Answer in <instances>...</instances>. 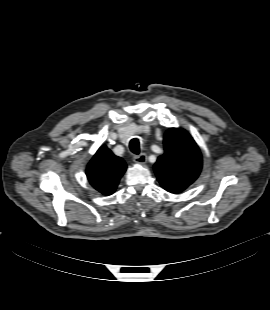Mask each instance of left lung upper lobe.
<instances>
[{
  "label": "left lung upper lobe",
  "mask_w": 270,
  "mask_h": 310,
  "mask_svg": "<svg viewBox=\"0 0 270 310\" xmlns=\"http://www.w3.org/2000/svg\"><path fill=\"white\" fill-rule=\"evenodd\" d=\"M165 153L154 165L161 186L179 193L199 176L202 156L193 138L183 129L171 128L164 135Z\"/></svg>",
  "instance_id": "5c2ea615"
}]
</instances>
